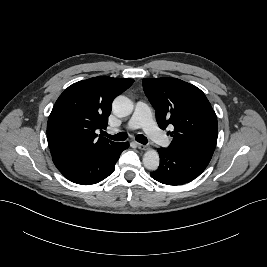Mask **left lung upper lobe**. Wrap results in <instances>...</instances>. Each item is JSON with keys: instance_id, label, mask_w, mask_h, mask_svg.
Returning a JSON list of instances; mask_svg holds the SVG:
<instances>
[{"instance_id": "1", "label": "left lung upper lobe", "mask_w": 267, "mask_h": 267, "mask_svg": "<svg viewBox=\"0 0 267 267\" xmlns=\"http://www.w3.org/2000/svg\"><path fill=\"white\" fill-rule=\"evenodd\" d=\"M143 89L156 110L161 129L174 131L168 147L211 159L216 147L217 117L205 94L177 78H144ZM169 134V133H168Z\"/></svg>"}]
</instances>
